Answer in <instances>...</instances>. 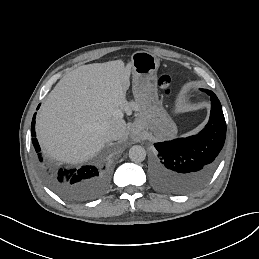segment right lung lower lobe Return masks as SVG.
<instances>
[{"mask_svg":"<svg viewBox=\"0 0 259 259\" xmlns=\"http://www.w3.org/2000/svg\"><path fill=\"white\" fill-rule=\"evenodd\" d=\"M40 104L37 109H39ZM35 118L31 124L32 143L38 156V168L47 183L63 198L80 202L94 199L103 194L109 181V170L103 166L81 168H53L42 157L35 133Z\"/></svg>","mask_w":259,"mask_h":259,"instance_id":"right-lung-lower-lobe-1","label":"right lung lower lobe"}]
</instances>
